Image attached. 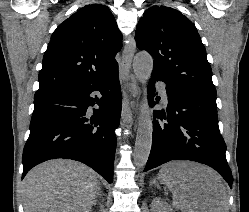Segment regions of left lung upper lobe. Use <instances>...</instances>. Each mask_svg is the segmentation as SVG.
<instances>
[{
  "instance_id": "5c2ea615",
  "label": "left lung upper lobe",
  "mask_w": 249,
  "mask_h": 212,
  "mask_svg": "<svg viewBox=\"0 0 249 212\" xmlns=\"http://www.w3.org/2000/svg\"><path fill=\"white\" fill-rule=\"evenodd\" d=\"M135 40L154 58L153 73L170 83L216 95L205 47L194 24L179 11L150 7L138 22Z\"/></svg>"
}]
</instances>
